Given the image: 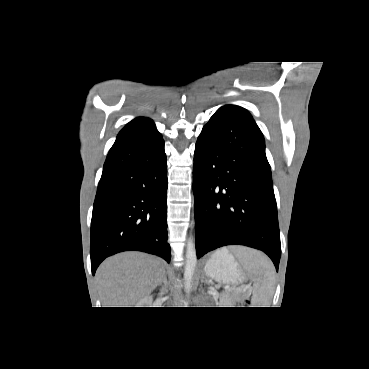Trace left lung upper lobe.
<instances>
[{"label":"left lung upper lobe","instance_id":"5c2ea615","mask_svg":"<svg viewBox=\"0 0 369 369\" xmlns=\"http://www.w3.org/2000/svg\"><path fill=\"white\" fill-rule=\"evenodd\" d=\"M228 107H232V108H236L238 110H240L241 112H243L244 114H246L249 118L252 119V116L249 114V112L247 110H245L244 108L242 107H239V106H235V105H226ZM253 120V119H252Z\"/></svg>","mask_w":369,"mask_h":369}]
</instances>
